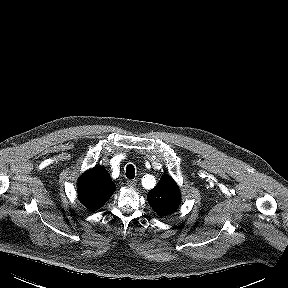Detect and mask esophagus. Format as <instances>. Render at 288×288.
<instances>
[{
	"label": "esophagus",
	"mask_w": 288,
	"mask_h": 288,
	"mask_svg": "<svg viewBox=\"0 0 288 288\" xmlns=\"http://www.w3.org/2000/svg\"><path fill=\"white\" fill-rule=\"evenodd\" d=\"M127 185H128L129 187H136V185H137V180H128V181H127Z\"/></svg>",
	"instance_id": "esophagus-1"
}]
</instances>
